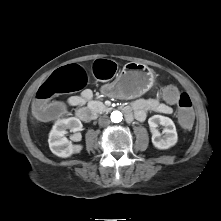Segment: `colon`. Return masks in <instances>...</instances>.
Here are the masks:
<instances>
[{
    "label": "colon",
    "mask_w": 221,
    "mask_h": 221,
    "mask_svg": "<svg viewBox=\"0 0 221 221\" xmlns=\"http://www.w3.org/2000/svg\"><path fill=\"white\" fill-rule=\"evenodd\" d=\"M117 66L110 60H97L93 66L98 79H110ZM88 78L86 72L78 65H68L56 70L38 89L34 104L35 118L40 123L66 119L71 114V107L66 102L47 104V101L58 94L74 92L85 87ZM161 99L168 106L178 104L179 129L187 132L195 126L192 102L187 93H182L175 85H168L161 92Z\"/></svg>",
    "instance_id": "1"
}]
</instances>
